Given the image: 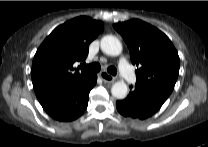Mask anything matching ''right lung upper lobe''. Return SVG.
<instances>
[{"instance_id":"right-lung-upper-lobe-1","label":"right lung upper lobe","mask_w":208,"mask_h":147,"mask_svg":"<svg viewBox=\"0 0 208 147\" xmlns=\"http://www.w3.org/2000/svg\"><path fill=\"white\" fill-rule=\"evenodd\" d=\"M104 24L80 16L55 28L38 48L32 64V83L40 103L64 96L92 74L74 70L84 61L89 44L103 31Z\"/></svg>"}]
</instances>
